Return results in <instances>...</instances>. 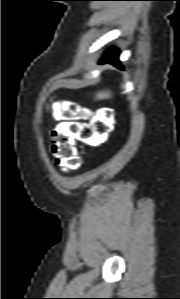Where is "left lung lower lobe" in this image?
<instances>
[{"label": "left lung lower lobe", "mask_w": 180, "mask_h": 299, "mask_svg": "<svg viewBox=\"0 0 180 299\" xmlns=\"http://www.w3.org/2000/svg\"><path fill=\"white\" fill-rule=\"evenodd\" d=\"M118 51L116 49H113L112 51H108L104 57L101 59L100 64H105V63H109V64H113L121 69H123V67L120 65V61L118 59Z\"/></svg>", "instance_id": "left-lung-lower-lobe-1"}]
</instances>
